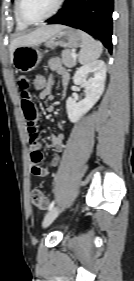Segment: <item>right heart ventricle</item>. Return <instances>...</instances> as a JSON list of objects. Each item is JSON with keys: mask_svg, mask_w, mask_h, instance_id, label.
<instances>
[{"mask_svg": "<svg viewBox=\"0 0 134 281\" xmlns=\"http://www.w3.org/2000/svg\"><path fill=\"white\" fill-rule=\"evenodd\" d=\"M14 16H15V21H16V27L18 30H25L28 28V25L27 24H24L19 18H18V15H17V12H16V3H15V6H14Z\"/></svg>", "mask_w": 134, "mask_h": 281, "instance_id": "obj_1", "label": "right heart ventricle"}]
</instances>
